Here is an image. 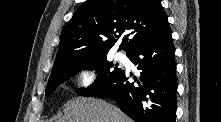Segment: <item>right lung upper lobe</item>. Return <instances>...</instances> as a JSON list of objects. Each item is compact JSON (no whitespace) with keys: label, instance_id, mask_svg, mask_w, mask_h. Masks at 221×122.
Wrapping results in <instances>:
<instances>
[{"label":"right lung upper lobe","instance_id":"obj_1","mask_svg":"<svg viewBox=\"0 0 221 122\" xmlns=\"http://www.w3.org/2000/svg\"><path fill=\"white\" fill-rule=\"evenodd\" d=\"M166 22L160 0H86L64 27L51 76L107 55L125 34L126 55L151 38Z\"/></svg>","mask_w":221,"mask_h":122}]
</instances>
